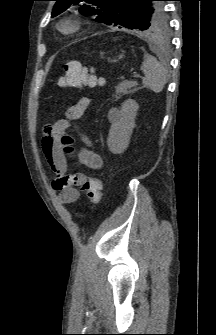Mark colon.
<instances>
[{"instance_id": "obj_1", "label": "colon", "mask_w": 216, "mask_h": 335, "mask_svg": "<svg viewBox=\"0 0 216 335\" xmlns=\"http://www.w3.org/2000/svg\"><path fill=\"white\" fill-rule=\"evenodd\" d=\"M101 82V79L94 74L93 68L87 67L78 61L67 62L64 65V74L59 79V85L61 87L96 86L101 84ZM73 141L74 139L70 134L64 135L61 138L64 151L70 156L74 153V148L72 147ZM79 186L94 206L102 202L103 192L100 179L86 177L83 178Z\"/></svg>"}]
</instances>
